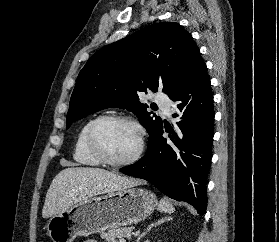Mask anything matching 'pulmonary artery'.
<instances>
[{"mask_svg": "<svg viewBox=\"0 0 279 242\" xmlns=\"http://www.w3.org/2000/svg\"><path fill=\"white\" fill-rule=\"evenodd\" d=\"M155 102L162 109V111L164 112V114L166 116H170V114H171V107H170L171 102L166 95H164L162 93H157L155 95Z\"/></svg>", "mask_w": 279, "mask_h": 242, "instance_id": "pulmonary-artery-1", "label": "pulmonary artery"}]
</instances>
